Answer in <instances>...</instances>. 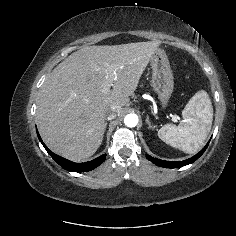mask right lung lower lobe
Returning <instances> with one entry per match:
<instances>
[{
	"mask_svg": "<svg viewBox=\"0 0 236 236\" xmlns=\"http://www.w3.org/2000/svg\"><path fill=\"white\" fill-rule=\"evenodd\" d=\"M37 135L39 140L41 141V143L43 144L44 148L47 150V152L50 154V156L64 169H66L67 171H71V172H87L90 171L94 168H96L97 166H99L102 162L105 161V157L106 154L101 155L100 157L92 160V161H88L85 163H74L71 162L61 156H58L56 154H54L51 150H49L46 145L43 143L38 131H37Z\"/></svg>",
	"mask_w": 236,
	"mask_h": 236,
	"instance_id": "right-lung-lower-lobe-1",
	"label": "right lung lower lobe"
}]
</instances>
